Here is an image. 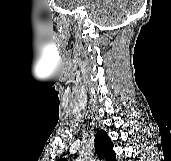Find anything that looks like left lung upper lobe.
Here are the masks:
<instances>
[{"label":"left lung upper lobe","mask_w":171,"mask_h":161,"mask_svg":"<svg viewBox=\"0 0 171 161\" xmlns=\"http://www.w3.org/2000/svg\"><path fill=\"white\" fill-rule=\"evenodd\" d=\"M113 143L104 130H99L95 135V149L99 159L116 161V154L112 150ZM58 161H66L60 159Z\"/></svg>","instance_id":"obj_1"}]
</instances>
